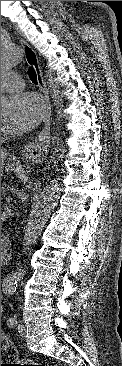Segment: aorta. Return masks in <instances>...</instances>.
Masks as SVG:
<instances>
[{
	"label": "aorta",
	"mask_w": 122,
	"mask_h": 366,
	"mask_svg": "<svg viewBox=\"0 0 122 366\" xmlns=\"http://www.w3.org/2000/svg\"><path fill=\"white\" fill-rule=\"evenodd\" d=\"M24 60L22 48L13 42H1V72H7L10 69L20 65ZM48 84L52 98L57 108H62V94L58 84L52 77H49ZM9 100L1 94V114L7 111ZM61 176L52 178L42 188V191L36 200L31 211L30 218L25 227L23 243L25 246L34 245L40 237L50 215L55 208L56 202L62 191Z\"/></svg>",
	"instance_id": "1"
}]
</instances>
